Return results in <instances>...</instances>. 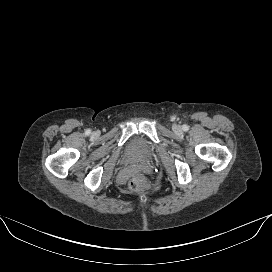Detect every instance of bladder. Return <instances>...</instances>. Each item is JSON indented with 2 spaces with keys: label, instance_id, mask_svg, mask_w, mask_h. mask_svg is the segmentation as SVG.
I'll use <instances>...</instances> for the list:
<instances>
[{
  "label": "bladder",
  "instance_id": "bladder-1",
  "mask_svg": "<svg viewBox=\"0 0 272 272\" xmlns=\"http://www.w3.org/2000/svg\"><path fill=\"white\" fill-rule=\"evenodd\" d=\"M154 157L153 143L141 135L130 138L123 151V159L126 164L149 162Z\"/></svg>",
  "mask_w": 272,
  "mask_h": 272
}]
</instances>
